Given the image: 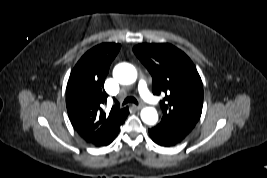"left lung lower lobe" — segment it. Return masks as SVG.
<instances>
[{
    "mask_svg": "<svg viewBox=\"0 0 267 178\" xmlns=\"http://www.w3.org/2000/svg\"><path fill=\"white\" fill-rule=\"evenodd\" d=\"M149 135L156 144L164 147L174 146L182 141L172 136L165 128L158 125L149 129Z\"/></svg>",
    "mask_w": 267,
    "mask_h": 178,
    "instance_id": "left-lung-lower-lobe-1",
    "label": "left lung lower lobe"
}]
</instances>
